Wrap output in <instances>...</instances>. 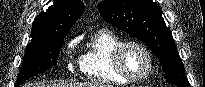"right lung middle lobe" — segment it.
Instances as JSON below:
<instances>
[{
  "mask_svg": "<svg viewBox=\"0 0 205 87\" xmlns=\"http://www.w3.org/2000/svg\"><path fill=\"white\" fill-rule=\"evenodd\" d=\"M66 35L31 40L27 45L22 67L17 75L15 87L57 65L63 38Z\"/></svg>",
  "mask_w": 205,
  "mask_h": 87,
  "instance_id": "right-lung-middle-lobe-1",
  "label": "right lung middle lobe"
}]
</instances>
